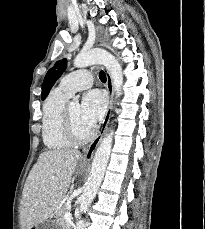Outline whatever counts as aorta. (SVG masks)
I'll use <instances>...</instances> for the list:
<instances>
[{"instance_id":"1","label":"aorta","mask_w":205,"mask_h":229,"mask_svg":"<svg viewBox=\"0 0 205 229\" xmlns=\"http://www.w3.org/2000/svg\"><path fill=\"white\" fill-rule=\"evenodd\" d=\"M76 68H84L93 64H102L108 70L117 97L121 94L123 85L122 67L118 60L108 51L95 48L80 52L73 62ZM73 103H78V98H73ZM113 142V130H109L99 144L92 162L91 171L86 182L85 189L79 198L80 211H85L93 201L98 188L103 180L109 161Z\"/></svg>"}]
</instances>
